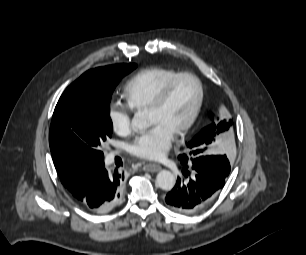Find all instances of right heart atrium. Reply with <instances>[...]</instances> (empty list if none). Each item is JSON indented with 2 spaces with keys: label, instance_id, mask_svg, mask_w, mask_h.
Returning a JSON list of instances; mask_svg holds the SVG:
<instances>
[{
  "label": "right heart atrium",
  "instance_id": "d8ad5b80",
  "mask_svg": "<svg viewBox=\"0 0 306 255\" xmlns=\"http://www.w3.org/2000/svg\"><path fill=\"white\" fill-rule=\"evenodd\" d=\"M113 131L120 136H127L133 130L132 116L129 111L117 104H113L108 112Z\"/></svg>",
  "mask_w": 306,
  "mask_h": 255
}]
</instances>
